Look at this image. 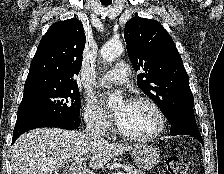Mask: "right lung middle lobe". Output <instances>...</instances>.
I'll use <instances>...</instances> for the list:
<instances>
[{
  "mask_svg": "<svg viewBox=\"0 0 224 174\" xmlns=\"http://www.w3.org/2000/svg\"><path fill=\"white\" fill-rule=\"evenodd\" d=\"M36 114L56 119H75L80 115L77 88L44 89L24 94L18 116Z\"/></svg>",
  "mask_w": 224,
  "mask_h": 174,
  "instance_id": "dd1d6c3e",
  "label": "right lung middle lobe"
}]
</instances>
